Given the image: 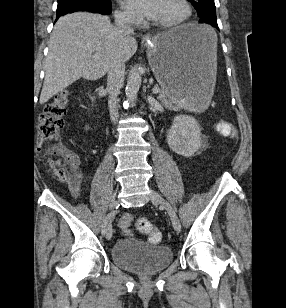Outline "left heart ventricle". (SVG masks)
Returning <instances> with one entry per match:
<instances>
[{
    "label": "left heart ventricle",
    "mask_w": 286,
    "mask_h": 308,
    "mask_svg": "<svg viewBox=\"0 0 286 308\" xmlns=\"http://www.w3.org/2000/svg\"><path fill=\"white\" fill-rule=\"evenodd\" d=\"M184 14V9L178 0H159L155 21H173Z\"/></svg>",
    "instance_id": "b2bd125f"
}]
</instances>
